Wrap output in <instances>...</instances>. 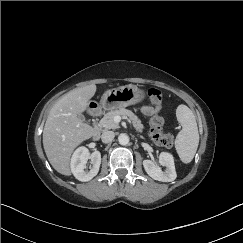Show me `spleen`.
<instances>
[{"instance_id":"spleen-1","label":"spleen","mask_w":243,"mask_h":243,"mask_svg":"<svg viewBox=\"0 0 243 243\" xmlns=\"http://www.w3.org/2000/svg\"><path fill=\"white\" fill-rule=\"evenodd\" d=\"M176 117L182 126V130L175 139V149L182 162L190 163L199 144L196 118L193 112L183 104L177 107Z\"/></svg>"}]
</instances>
